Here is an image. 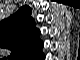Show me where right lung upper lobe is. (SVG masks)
<instances>
[{
    "mask_svg": "<svg viewBox=\"0 0 80 60\" xmlns=\"http://www.w3.org/2000/svg\"><path fill=\"white\" fill-rule=\"evenodd\" d=\"M31 13L30 7L23 6L2 22L5 30L1 32L0 39L4 47L11 50V54L27 57L38 47L40 32L35 28Z\"/></svg>",
    "mask_w": 80,
    "mask_h": 60,
    "instance_id": "cb5924a9",
    "label": "right lung upper lobe"
}]
</instances>
